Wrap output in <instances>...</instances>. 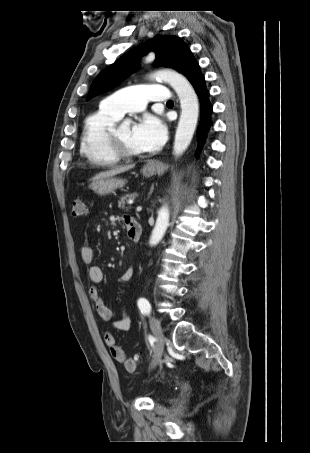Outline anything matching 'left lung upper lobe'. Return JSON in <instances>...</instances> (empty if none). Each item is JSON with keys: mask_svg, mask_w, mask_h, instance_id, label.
Masks as SVG:
<instances>
[{"mask_svg": "<svg viewBox=\"0 0 310 453\" xmlns=\"http://www.w3.org/2000/svg\"><path fill=\"white\" fill-rule=\"evenodd\" d=\"M156 53L155 65L171 67L181 72L192 55L187 45L175 36H157L123 55L104 69L91 84L88 99L117 85L138 67L140 58L148 51Z\"/></svg>", "mask_w": 310, "mask_h": 453, "instance_id": "obj_1", "label": "left lung upper lobe"}]
</instances>
